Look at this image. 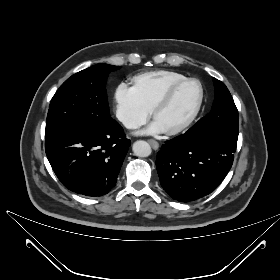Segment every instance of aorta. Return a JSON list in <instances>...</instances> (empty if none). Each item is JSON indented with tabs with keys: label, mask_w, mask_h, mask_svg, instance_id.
Here are the masks:
<instances>
[{
	"label": "aorta",
	"mask_w": 280,
	"mask_h": 280,
	"mask_svg": "<svg viewBox=\"0 0 280 280\" xmlns=\"http://www.w3.org/2000/svg\"><path fill=\"white\" fill-rule=\"evenodd\" d=\"M132 150H133L134 155H136L138 157H148L152 152V149H151V146L149 145V143H147L146 141H143V140L136 141L133 144Z\"/></svg>",
	"instance_id": "aorta-1"
}]
</instances>
